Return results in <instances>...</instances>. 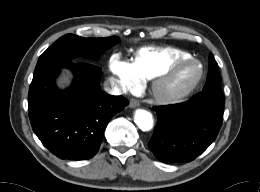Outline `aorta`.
<instances>
[{"instance_id": "obj_1", "label": "aorta", "mask_w": 260, "mask_h": 192, "mask_svg": "<svg viewBox=\"0 0 260 192\" xmlns=\"http://www.w3.org/2000/svg\"><path fill=\"white\" fill-rule=\"evenodd\" d=\"M134 122L142 131H150L154 123L152 114L144 109L135 111Z\"/></svg>"}]
</instances>
